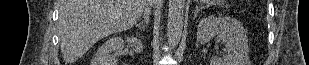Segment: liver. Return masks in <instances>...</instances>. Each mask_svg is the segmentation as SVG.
Returning a JSON list of instances; mask_svg holds the SVG:
<instances>
[{"instance_id": "obj_1", "label": "liver", "mask_w": 309, "mask_h": 65, "mask_svg": "<svg viewBox=\"0 0 309 65\" xmlns=\"http://www.w3.org/2000/svg\"><path fill=\"white\" fill-rule=\"evenodd\" d=\"M150 0H59V38L65 63L82 57L97 41L132 28Z\"/></svg>"}]
</instances>
